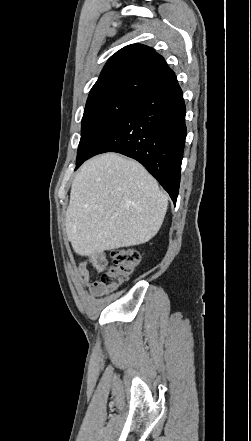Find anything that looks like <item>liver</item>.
Listing matches in <instances>:
<instances>
[{
  "mask_svg": "<svg viewBox=\"0 0 251 441\" xmlns=\"http://www.w3.org/2000/svg\"><path fill=\"white\" fill-rule=\"evenodd\" d=\"M167 206V195L140 163L101 154L72 183L67 237L81 256L143 244L159 231Z\"/></svg>",
  "mask_w": 251,
  "mask_h": 441,
  "instance_id": "liver-1",
  "label": "liver"
}]
</instances>
